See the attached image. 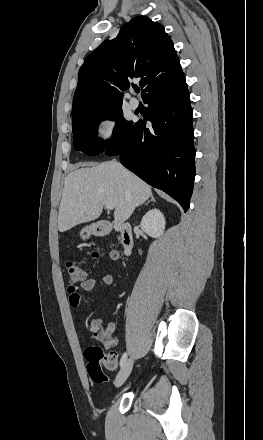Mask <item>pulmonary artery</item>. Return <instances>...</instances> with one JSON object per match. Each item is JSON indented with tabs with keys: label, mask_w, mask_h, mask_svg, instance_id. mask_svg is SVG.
Listing matches in <instances>:
<instances>
[{
	"label": "pulmonary artery",
	"mask_w": 263,
	"mask_h": 440,
	"mask_svg": "<svg viewBox=\"0 0 263 440\" xmlns=\"http://www.w3.org/2000/svg\"><path fill=\"white\" fill-rule=\"evenodd\" d=\"M129 105L132 109H137L139 102L135 97H129Z\"/></svg>",
	"instance_id": "pulmonary-artery-1"
}]
</instances>
